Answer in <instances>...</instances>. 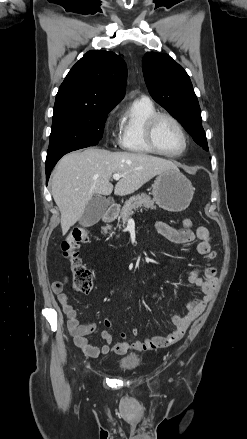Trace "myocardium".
Masks as SVG:
<instances>
[{
    "instance_id": "1",
    "label": "myocardium",
    "mask_w": 247,
    "mask_h": 439,
    "mask_svg": "<svg viewBox=\"0 0 247 439\" xmlns=\"http://www.w3.org/2000/svg\"><path fill=\"white\" fill-rule=\"evenodd\" d=\"M162 118H166L169 119L170 121H172L176 127L178 128L182 139H183V146L182 148L175 153H168L165 152L163 150H161L155 141V127L156 124L158 123V121ZM145 139L147 144L149 145V147L157 154L165 156V157H169V158H175V157H179L181 156L187 149L188 147V136L187 133L183 127V125L181 124V122L174 117L173 115L169 114V113H165V112H157L156 114L152 115L146 122L145 125Z\"/></svg>"
}]
</instances>
